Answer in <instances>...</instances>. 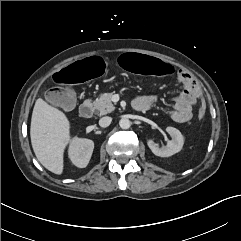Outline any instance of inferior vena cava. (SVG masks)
<instances>
[{"label": "inferior vena cava", "instance_id": "obj_1", "mask_svg": "<svg viewBox=\"0 0 241 241\" xmlns=\"http://www.w3.org/2000/svg\"><path fill=\"white\" fill-rule=\"evenodd\" d=\"M111 121H112V118L109 117V116H105V117H102L100 120H99V125L101 127H108L110 124H111Z\"/></svg>", "mask_w": 241, "mask_h": 241}]
</instances>
